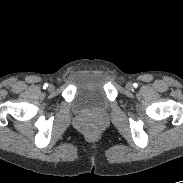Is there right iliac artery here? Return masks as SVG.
<instances>
[{
    "mask_svg": "<svg viewBox=\"0 0 183 183\" xmlns=\"http://www.w3.org/2000/svg\"><path fill=\"white\" fill-rule=\"evenodd\" d=\"M43 87H44V88H47V87H48V84H47V83H45Z\"/></svg>",
    "mask_w": 183,
    "mask_h": 183,
    "instance_id": "1",
    "label": "right iliac artery"
}]
</instances>
